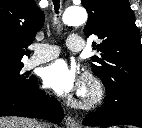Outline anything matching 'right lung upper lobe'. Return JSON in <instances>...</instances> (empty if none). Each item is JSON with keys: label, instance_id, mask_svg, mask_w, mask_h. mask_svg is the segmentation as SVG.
<instances>
[{"label": "right lung upper lobe", "instance_id": "cb5924a9", "mask_svg": "<svg viewBox=\"0 0 142 128\" xmlns=\"http://www.w3.org/2000/svg\"><path fill=\"white\" fill-rule=\"evenodd\" d=\"M34 0H0V65L23 64L26 49L44 23Z\"/></svg>", "mask_w": 142, "mask_h": 128}]
</instances>
